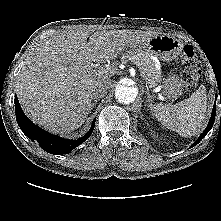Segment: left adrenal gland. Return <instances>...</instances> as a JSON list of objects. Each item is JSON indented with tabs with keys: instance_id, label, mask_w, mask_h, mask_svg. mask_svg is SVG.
<instances>
[{
	"instance_id": "a2214340",
	"label": "left adrenal gland",
	"mask_w": 221,
	"mask_h": 221,
	"mask_svg": "<svg viewBox=\"0 0 221 221\" xmlns=\"http://www.w3.org/2000/svg\"><path fill=\"white\" fill-rule=\"evenodd\" d=\"M145 93L147 94V100H146V102L147 103H149V107H150V109L151 110H153V100H152V96L150 95V93H149V90H148V88H147V90L145 91Z\"/></svg>"
}]
</instances>
